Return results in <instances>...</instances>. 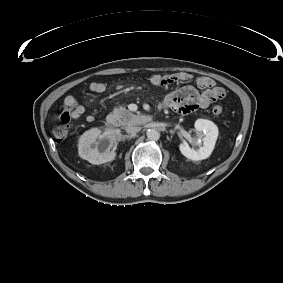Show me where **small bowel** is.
<instances>
[{
	"mask_svg": "<svg viewBox=\"0 0 283 283\" xmlns=\"http://www.w3.org/2000/svg\"><path fill=\"white\" fill-rule=\"evenodd\" d=\"M192 76L186 72H178L168 78L154 73L149 77V81L154 86H164L171 83H180L189 81ZM90 91L94 93H103L106 85L103 82H92L89 85ZM226 93L221 87L216 86L213 79L200 76L195 80V86H185L179 88L164 98V105L176 110L180 114L193 112L195 109L207 108L211 103L223 99ZM85 113V107L72 95H67L62 104L61 118L66 117L69 120H76ZM88 122H93L95 117L88 115Z\"/></svg>",
	"mask_w": 283,
	"mask_h": 283,
	"instance_id": "c3829d8e",
	"label": "small bowel"
}]
</instances>
